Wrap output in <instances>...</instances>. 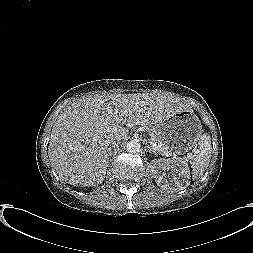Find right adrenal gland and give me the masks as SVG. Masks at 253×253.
Returning <instances> with one entry per match:
<instances>
[{
  "instance_id": "obj_1",
  "label": "right adrenal gland",
  "mask_w": 253,
  "mask_h": 253,
  "mask_svg": "<svg viewBox=\"0 0 253 253\" xmlns=\"http://www.w3.org/2000/svg\"><path fill=\"white\" fill-rule=\"evenodd\" d=\"M113 148H115V147H111V150H113ZM111 154H112V153H111ZM111 154H110V155H111Z\"/></svg>"
}]
</instances>
